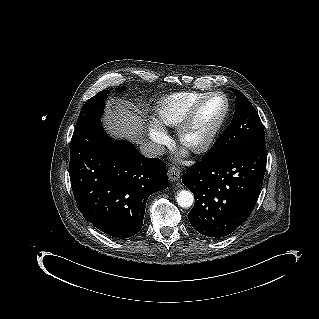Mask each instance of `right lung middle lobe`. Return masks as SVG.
Here are the masks:
<instances>
[{
  "mask_svg": "<svg viewBox=\"0 0 319 319\" xmlns=\"http://www.w3.org/2000/svg\"><path fill=\"white\" fill-rule=\"evenodd\" d=\"M118 91L123 90L117 88ZM109 90H102L97 93L94 97L90 98L83 106L77 123L76 128L80 127L96 118H100L103 112L106 95L109 93Z\"/></svg>",
  "mask_w": 319,
  "mask_h": 319,
  "instance_id": "dd1d6c3e",
  "label": "right lung middle lobe"
}]
</instances>
